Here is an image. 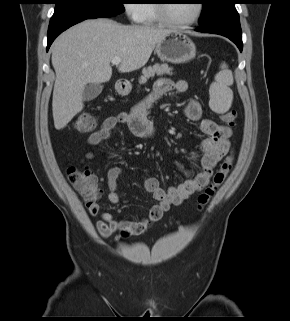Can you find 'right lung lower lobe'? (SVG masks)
Listing matches in <instances>:
<instances>
[{
    "instance_id": "1",
    "label": "right lung lower lobe",
    "mask_w": 290,
    "mask_h": 321,
    "mask_svg": "<svg viewBox=\"0 0 290 321\" xmlns=\"http://www.w3.org/2000/svg\"><path fill=\"white\" fill-rule=\"evenodd\" d=\"M83 20H85V19L80 18V19H69V20H60V21L50 22L49 28H48L47 50L49 49V47H50L51 43L54 41V39L60 33H62L64 30L68 29L69 27H71L74 24H77Z\"/></svg>"
}]
</instances>
